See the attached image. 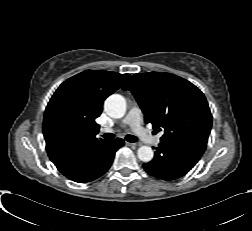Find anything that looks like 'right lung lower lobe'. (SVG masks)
Instances as JSON below:
<instances>
[{"mask_svg":"<svg viewBox=\"0 0 252 231\" xmlns=\"http://www.w3.org/2000/svg\"><path fill=\"white\" fill-rule=\"evenodd\" d=\"M124 145V141L117 138L106 141L84 153L79 171L71 180L86 183L102 176L111 166L115 152Z\"/></svg>","mask_w":252,"mask_h":231,"instance_id":"right-lung-lower-lobe-1","label":"right lung lower lobe"}]
</instances>
